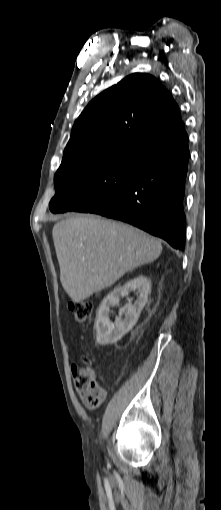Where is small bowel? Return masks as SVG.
I'll use <instances>...</instances> for the list:
<instances>
[{"label": "small bowel", "instance_id": "1", "mask_svg": "<svg viewBox=\"0 0 221 510\" xmlns=\"http://www.w3.org/2000/svg\"><path fill=\"white\" fill-rule=\"evenodd\" d=\"M79 368H80V367H79L77 364H73V365L71 366V373H72V376H73V378H74V382H75V385H76L77 391H78L79 395H81V388H80V386L78 385L77 380H76V376H77V373H78V371H79Z\"/></svg>", "mask_w": 221, "mask_h": 510}]
</instances>
